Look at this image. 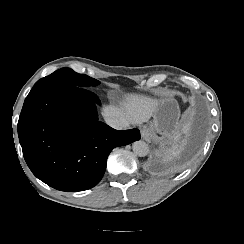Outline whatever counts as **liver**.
<instances>
[{
  "label": "liver",
  "instance_id": "1",
  "mask_svg": "<svg viewBox=\"0 0 244 244\" xmlns=\"http://www.w3.org/2000/svg\"><path fill=\"white\" fill-rule=\"evenodd\" d=\"M157 102V99L144 95L128 94L120 106H103L102 115L126 119L130 124H142L153 116Z\"/></svg>",
  "mask_w": 244,
  "mask_h": 244
}]
</instances>
